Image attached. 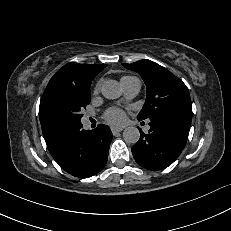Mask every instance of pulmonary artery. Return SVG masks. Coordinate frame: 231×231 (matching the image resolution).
<instances>
[{"label":"pulmonary artery","instance_id":"1","mask_svg":"<svg viewBox=\"0 0 231 231\" xmlns=\"http://www.w3.org/2000/svg\"><path fill=\"white\" fill-rule=\"evenodd\" d=\"M121 85L124 90L125 96L128 98L135 97L141 88L140 80L136 77H127L121 79Z\"/></svg>","mask_w":231,"mask_h":231}]
</instances>
